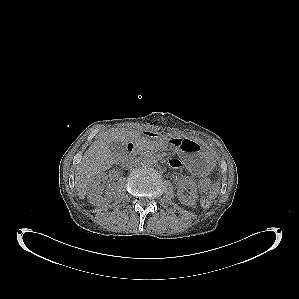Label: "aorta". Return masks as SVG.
Segmentation results:
<instances>
[{
    "instance_id": "obj_1",
    "label": "aorta",
    "mask_w": 299,
    "mask_h": 299,
    "mask_svg": "<svg viewBox=\"0 0 299 299\" xmlns=\"http://www.w3.org/2000/svg\"><path fill=\"white\" fill-rule=\"evenodd\" d=\"M141 162L145 166H155L159 162V156L153 151H147L142 155Z\"/></svg>"
}]
</instances>
